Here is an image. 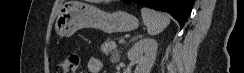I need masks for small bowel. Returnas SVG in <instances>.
<instances>
[{"mask_svg":"<svg viewBox=\"0 0 244 73\" xmlns=\"http://www.w3.org/2000/svg\"><path fill=\"white\" fill-rule=\"evenodd\" d=\"M89 73H100L102 69V62L100 59L92 57L87 62Z\"/></svg>","mask_w":244,"mask_h":73,"instance_id":"c3829d8e","label":"small bowel"}]
</instances>
